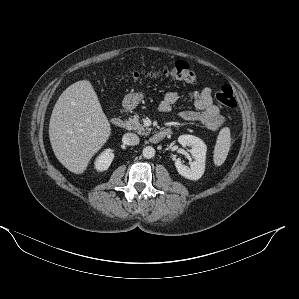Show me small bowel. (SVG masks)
<instances>
[{"label":"small bowel","instance_id":"small-bowel-1","mask_svg":"<svg viewBox=\"0 0 299 299\" xmlns=\"http://www.w3.org/2000/svg\"><path fill=\"white\" fill-rule=\"evenodd\" d=\"M189 98L192 100L195 110L182 111L180 116L183 120L199 122L211 131H217L225 124V118L220 114L219 108L213 103L210 88L193 91L189 94ZM178 101V94L169 91L159 103V109L164 113H168Z\"/></svg>","mask_w":299,"mask_h":299}]
</instances>
